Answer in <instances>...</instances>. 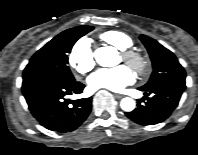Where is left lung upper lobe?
I'll return each mask as SVG.
<instances>
[{
	"label": "left lung upper lobe",
	"instance_id": "5c2ea615",
	"mask_svg": "<svg viewBox=\"0 0 198 155\" xmlns=\"http://www.w3.org/2000/svg\"><path fill=\"white\" fill-rule=\"evenodd\" d=\"M140 40L147 48L153 64L150 80L140 88L149 90L162 84L185 85L186 73L175 55L148 36L141 35Z\"/></svg>",
	"mask_w": 198,
	"mask_h": 155
}]
</instances>
